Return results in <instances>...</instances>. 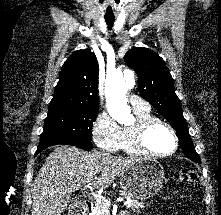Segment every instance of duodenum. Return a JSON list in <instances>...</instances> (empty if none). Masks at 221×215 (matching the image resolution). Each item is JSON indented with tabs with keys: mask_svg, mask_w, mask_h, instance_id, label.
I'll return each mask as SVG.
<instances>
[{
	"mask_svg": "<svg viewBox=\"0 0 221 215\" xmlns=\"http://www.w3.org/2000/svg\"><path fill=\"white\" fill-rule=\"evenodd\" d=\"M92 209H93V203L91 201H87V202L84 203L81 210H79L74 215H90ZM121 215H125V213H121Z\"/></svg>",
	"mask_w": 221,
	"mask_h": 215,
	"instance_id": "duodenum-1",
	"label": "duodenum"
}]
</instances>
